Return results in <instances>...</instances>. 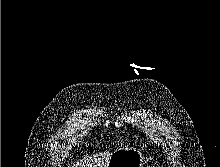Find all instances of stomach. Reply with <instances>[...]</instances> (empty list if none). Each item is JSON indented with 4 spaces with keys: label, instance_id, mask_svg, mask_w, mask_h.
I'll list each match as a JSON object with an SVG mask.
<instances>
[{
    "label": "stomach",
    "instance_id": "1",
    "mask_svg": "<svg viewBox=\"0 0 220 167\" xmlns=\"http://www.w3.org/2000/svg\"><path fill=\"white\" fill-rule=\"evenodd\" d=\"M145 162V157L139 149L125 147L111 154L107 167H144Z\"/></svg>",
    "mask_w": 220,
    "mask_h": 167
}]
</instances>
